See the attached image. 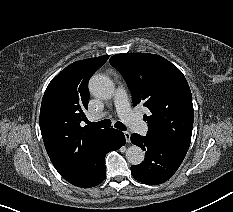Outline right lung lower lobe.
Listing matches in <instances>:
<instances>
[{
    "mask_svg": "<svg viewBox=\"0 0 233 212\" xmlns=\"http://www.w3.org/2000/svg\"><path fill=\"white\" fill-rule=\"evenodd\" d=\"M124 144L125 137L121 131L113 128L106 129L92 154L89 165L76 176L67 179V181L83 188H90L100 184L106 177V154L119 149Z\"/></svg>",
    "mask_w": 233,
    "mask_h": 212,
    "instance_id": "98d812e1",
    "label": "right lung lower lobe"
}]
</instances>
